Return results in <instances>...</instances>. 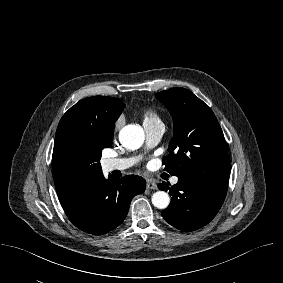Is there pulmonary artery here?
Listing matches in <instances>:
<instances>
[{
	"mask_svg": "<svg viewBox=\"0 0 283 283\" xmlns=\"http://www.w3.org/2000/svg\"><path fill=\"white\" fill-rule=\"evenodd\" d=\"M145 135H146V145L148 148L156 146L162 138L164 133V125L161 122L155 123H143ZM135 162L134 158H117V159H107L103 162V169L106 172L111 171H123L131 167ZM171 182L173 184L178 182L177 177H173Z\"/></svg>",
	"mask_w": 283,
	"mask_h": 283,
	"instance_id": "pulmonary-artery-1",
	"label": "pulmonary artery"
}]
</instances>
